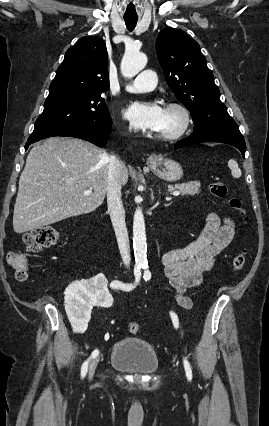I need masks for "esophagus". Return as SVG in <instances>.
<instances>
[{
  "label": "esophagus",
  "mask_w": 269,
  "mask_h": 426,
  "mask_svg": "<svg viewBox=\"0 0 269 426\" xmlns=\"http://www.w3.org/2000/svg\"><path fill=\"white\" fill-rule=\"evenodd\" d=\"M157 161V155L155 153H152L149 157H148V163L152 164L154 162Z\"/></svg>",
  "instance_id": "esophagus-1"
}]
</instances>
